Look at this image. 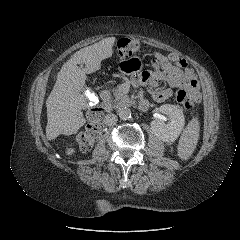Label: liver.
Segmentation results:
<instances>
[{"label": "liver", "instance_id": "1", "mask_svg": "<svg viewBox=\"0 0 240 240\" xmlns=\"http://www.w3.org/2000/svg\"><path fill=\"white\" fill-rule=\"evenodd\" d=\"M115 40V37H109L82 48L63 64L46 101L48 140H53L60 134H76L84 126L86 120L81 110L86 105V98L81 91L86 84V74L98 71L101 62L113 55ZM78 64H85V69L82 70Z\"/></svg>", "mask_w": 240, "mask_h": 240}]
</instances>
